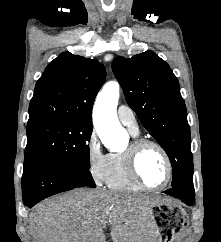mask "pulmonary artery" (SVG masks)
<instances>
[{
  "label": "pulmonary artery",
  "mask_w": 221,
  "mask_h": 242,
  "mask_svg": "<svg viewBox=\"0 0 221 242\" xmlns=\"http://www.w3.org/2000/svg\"><path fill=\"white\" fill-rule=\"evenodd\" d=\"M120 122L133 134H138L139 128L132 109L126 105H120L117 109Z\"/></svg>",
  "instance_id": "1"
}]
</instances>
